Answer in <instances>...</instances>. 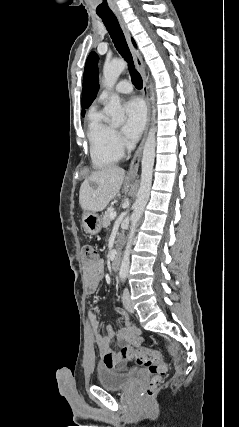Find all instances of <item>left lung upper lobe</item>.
Here are the masks:
<instances>
[{
    "label": "left lung upper lobe",
    "instance_id": "5c2ea615",
    "mask_svg": "<svg viewBox=\"0 0 239 427\" xmlns=\"http://www.w3.org/2000/svg\"><path fill=\"white\" fill-rule=\"evenodd\" d=\"M98 55L91 52L87 58L83 78V92H82V107L88 108L95 99L99 90V69L97 66ZM85 111H82L84 116Z\"/></svg>",
    "mask_w": 239,
    "mask_h": 427
}]
</instances>
